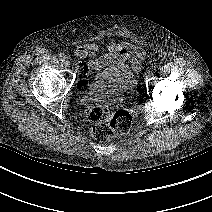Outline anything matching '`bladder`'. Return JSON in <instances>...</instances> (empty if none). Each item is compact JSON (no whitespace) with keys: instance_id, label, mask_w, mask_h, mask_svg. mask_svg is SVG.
I'll list each match as a JSON object with an SVG mask.
<instances>
[{"instance_id":"31cf9c89","label":"bladder","mask_w":212,"mask_h":212,"mask_svg":"<svg viewBox=\"0 0 212 212\" xmlns=\"http://www.w3.org/2000/svg\"><path fill=\"white\" fill-rule=\"evenodd\" d=\"M138 96L134 75L127 66L113 65L96 71L85 87L79 90L82 105L130 104Z\"/></svg>"}]
</instances>
